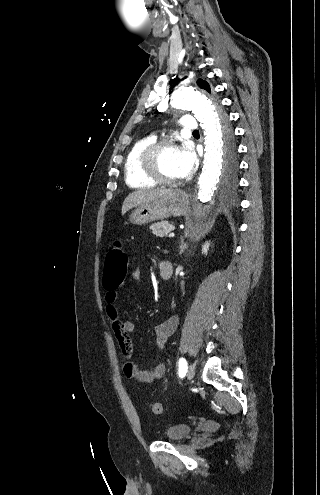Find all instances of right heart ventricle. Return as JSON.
I'll use <instances>...</instances> for the list:
<instances>
[{
    "label": "right heart ventricle",
    "mask_w": 320,
    "mask_h": 495,
    "mask_svg": "<svg viewBox=\"0 0 320 495\" xmlns=\"http://www.w3.org/2000/svg\"><path fill=\"white\" fill-rule=\"evenodd\" d=\"M155 140L154 136L141 138L128 151L124 162V176L126 184L131 188L147 189L156 185V182L147 177L140 168L142 151Z\"/></svg>",
    "instance_id": "obj_1"
}]
</instances>
